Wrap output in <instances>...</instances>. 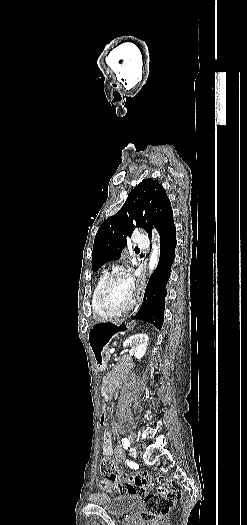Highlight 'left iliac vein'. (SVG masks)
<instances>
[{"label":"left iliac vein","instance_id":"1","mask_svg":"<svg viewBox=\"0 0 247 525\" xmlns=\"http://www.w3.org/2000/svg\"><path fill=\"white\" fill-rule=\"evenodd\" d=\"M129 452H130V455H131V456H135V455H136V449H135V447H131L130 450H129Z\"/></svg>","mask_w":247,"mask_h":525}]
</instances>
